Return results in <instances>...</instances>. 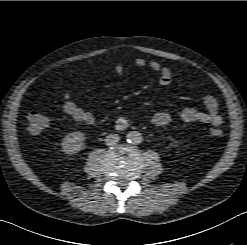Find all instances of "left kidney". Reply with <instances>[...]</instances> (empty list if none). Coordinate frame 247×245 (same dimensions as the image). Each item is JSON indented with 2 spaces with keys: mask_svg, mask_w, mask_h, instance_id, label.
Returning a JSON list of instances; mask_svg holds the SVG:
<instances>
[{
  "mask_svg": "<svg viewBox=\"0 0 247 245\" xmlns=\"http://www.w3.org/2000/svg\"><path fill=\"white\" fill-rule=\"evenodd\" d=\"M170 145L171 146H174V147H177L178 146L177 142H172V143H170Z\"/></svg>",
  "mask_w": 247,
  "mask_h": 245,
  "instance_id": "5707ae66",
  "label": "left kidney"
}]
</instances>
